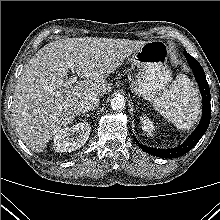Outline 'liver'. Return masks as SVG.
I'll list each match as a JSON object with an SVG mask.
<instances>
[{"instance_id":"1","label":"liver","mask_w":220,"mask_h":220,"mask_svg":"<svg viewBox=\"0 0 220 220\" xmlns=\"http://www.w3.org/2000/svg\"><path fill=\"white\" fill-rule=\"evenodd\" d=\"M145 41L67 38L42 47L25 65L15 87L12 117L28 148L40 153L62 127L80 114V102L106 94V77ZM84 80L68 85L70 64Z\"/></svg>"}]
</instances>
